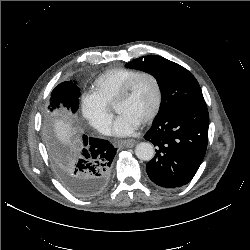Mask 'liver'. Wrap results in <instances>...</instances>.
Returning <instances> with one entry per match:
<instances>
[{"label":"liver","mask_w":250,"mask_h":250,"mask_svg":"<svg viewBox=\"0 0 250 250\" xmlns=\"http://www.w3.org/2000/svg\"><path fill=\"white\" fill-rule=\"evenodd\" d=\"M53 126L58 140L63 144H71V139L75 134L71 123L67 119H58L54 122Z\"/></svg>","instance_id":"6515ba94"}]
</instances>
